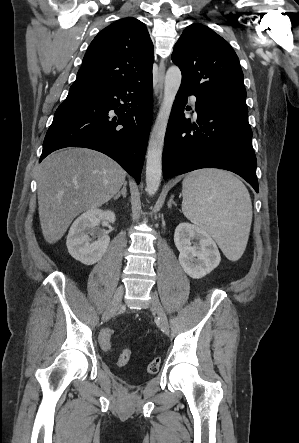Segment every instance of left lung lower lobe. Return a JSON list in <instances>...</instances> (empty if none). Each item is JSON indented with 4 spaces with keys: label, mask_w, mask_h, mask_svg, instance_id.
I'll return each instance as SVG.
<instances>
[{
    "label": "left lung lower lobe",
    "mask_w": 299,
    "mask_h": 443,
    "mask_svg": "<svg viewBox=\"0 0 299 443\" xmlns=\"http://www.w3.org/2000/svg\"><path fill=\"white\" fill-rule=\"evenodd\" d=\"M189 95L197 98V124L185 118ZM165 179L201 168H220L244 178L258 192L256 156L248 113L204 100L181 84L173 104L163 151Z\"/></svg>",
    "instance_id": "left-lung-lower-lobe-1"
}]
</instances>
